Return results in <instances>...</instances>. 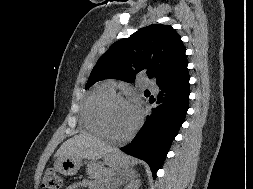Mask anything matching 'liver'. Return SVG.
<instances>
[{"instance_id":"6515ba94","label":"liver","mask_w":253,"mask_h":189,"mask_svg":"<svg viewBox=\"0 0 253 189\" xmlns=\"http://www.w3.org/2000/svg\"><path fill=\"white\" fill-rule=\"evenodd\" d=\"M111 152L116 151L96 137L81 133L65 141L57 150L55 157L98 160Z\"/></svg>"}]
</instances>
